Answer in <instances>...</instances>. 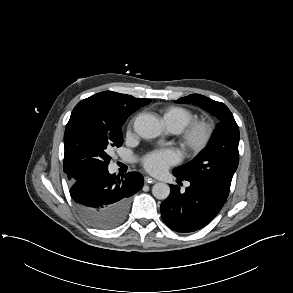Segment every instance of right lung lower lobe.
<instances>
[{
    "label": "right lung lower lobe",
    "instance_id": "98d812e1",
    "mask_svg": "<svg viewBox=\"0 0 293 293\" xmlns=\"http://www.w3.org/2000/svg\"><path fill=\"white\" fill-rule=\"evenodd\" d=\"M143 183V176L138 172H129L120 178L110 174L108 168H99L79 176L70 194L82 216L116 214L123 217V222L129 209V197L139 191Z\"/></svg>",
    "mask_w": 293,
    "mask_h": 293
}]
</instances>
